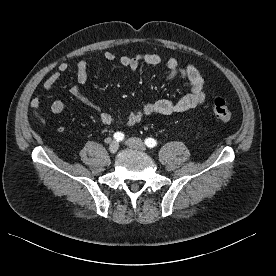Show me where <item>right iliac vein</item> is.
I'll return each mask as SVG.
<instances>
[{"instance_id": "63e3f726", "label": "right iliac vein", "mask_w": 276, "mask_h": 276, "mask_svg": "<svg viewBox=\"0 0 276 276\" xmlns=\"http://www.w3.org/2000/svg\"><path fill=\"white\" fill-rule=\"evenodd\" d=\"M119 149V143L117 141H112L109 145V151L111 153H116Z\"/></svg>"}]
</instances>
